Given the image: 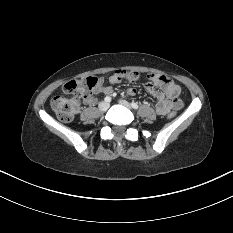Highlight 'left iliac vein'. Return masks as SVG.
I'll return each mask as SVG.
<instances>
[{
	"mask_svg": "<svg viewBox=\"0 0 233 233\" xmlns=\"http://www.w3.org/2000/svg\"><path fill=\"white\" fill-rule=\"evenodd\" d=\"M119 103H120L121 105L125 106V107L128 108V109H131V108H132L131 105H130V103L127 102L126 100H120Z\"/></svg>",
	"mask_w": 233,
	"mask_h": 233,
	"instance_id": "4c4485c4",
	"label": "left iliac vein"
}]
</instances>
